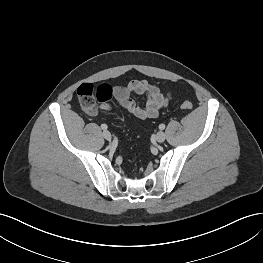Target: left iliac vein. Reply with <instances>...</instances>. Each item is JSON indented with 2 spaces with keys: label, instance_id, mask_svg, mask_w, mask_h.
Here are the masks:
<instances>
[{
  "label": "left iliac vein",
  "instance_id": "obj_1",
  "mask_svg": "<svg viewBox=\"0 0 263 263\" xmlns=\"http://www.w3.org/2000/svg\"><path fill=\"white\" fill-rule=\"evenodd\" d=\"M165 139H166V135H165L164 132L160 131V132L157 133V135H156V140H157L158 142H160V143H161V142H164Z\"/></svg>",
  "mask_w": 263,
  "mask_h": 263
}]
</instances>
